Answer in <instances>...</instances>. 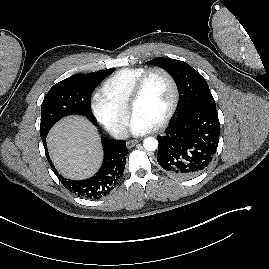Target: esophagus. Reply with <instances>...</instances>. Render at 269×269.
Segmentation results:
<instances>
[{"label": "esophagus", "instance_id": "obj_1", "mask_svg": "<svg viewBox=\"0 0 269 269\" xmlns=\"http://www.w3.org/2000/svg\"><path fill=\"white\" fill-rule=\"evenodd\" d=\"M139 142V140H130L126 143V146L128 149L134 147L137 143Z\"/></svg>", "mask_w": 269, "mask_h": 269}]
</instances>
